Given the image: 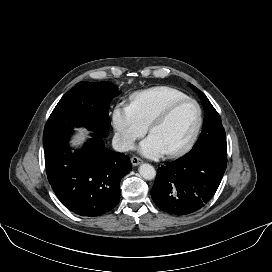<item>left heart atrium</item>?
<instances>
[{
	"label": "left heart atrium",
	"instance_id": "obj_1",
	"mask_svg": "<svg viewBox=\"0 0 272 272\" xmlns=\"http://www.w3.org/2000/svg\"><path fill=\"white\" fill-rule=\"evenodd\" d=\"M139 151L143 155L151 158L159 157L164 154V150L153 136H149L140 144Z\"/></svg>",
	"mask_w": 272,
	"mask_h": 272
}]
</instances>
